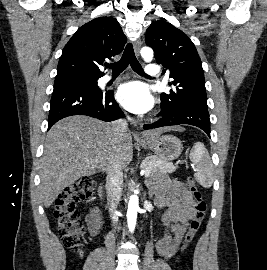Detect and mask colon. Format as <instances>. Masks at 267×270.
<instances>
[{
	"instance_id": "5ec220e1",
	"label": "colon",
	"mask_w": 267,
	"mask_h": 270,
	"mask_svg": "<svg viewBox=\"0 0 267 270\" xmlns=\"http://www.w3.org/2000/svg\"><path fill=\"white\" fill-rule=\"evenodd\" d=\"M187 187L193 196L195 205L194 216L184 238V250L194 241L206 213V203L193 178H188ZM93 188L94 181L89 177H83L64 189L56 200L54 219L58 234L64 246L73 252L82 251L84 242L83 223L76 205L88 199Z\"/></svg>"
}]
</instances>
